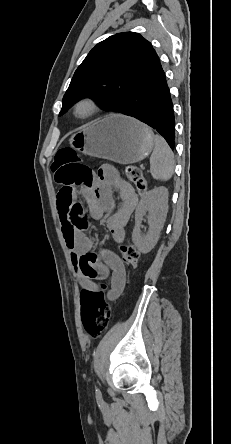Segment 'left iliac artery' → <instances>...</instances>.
Returning <instances> with one entry per match:
<instances>
[{
  "mask_svg": "<svg viewBox=\"0 0 231 444\" xmlns=\"http://www.w3.org/2000/svg\"><path fill=\"white\" fill-rule=\"evenodd\" d=\"M96 394L97 395H101V392H100V390L98 388H96Z\"/></svg>",
  "mask_w": 231,
  "mask_h": 444,
  "instance_id": "left-iliac-artery-1",
  "label": "left iliac artery"
}]
</instances>
